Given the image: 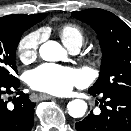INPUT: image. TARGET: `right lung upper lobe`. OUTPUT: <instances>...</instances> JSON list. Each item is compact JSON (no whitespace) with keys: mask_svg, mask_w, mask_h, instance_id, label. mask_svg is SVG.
I'll return each instance as SVG.
<instances>
[{"mask_svg":"<svg viewBox=\"0 0 131 131\" xmlns=\"http://www.w3.org/2000/svg\"><path fill=\"white\" fill-rule=\"evenodd\" d=\"M46 14H14L0 18V25L11 26L15 28H30L45 18Z\"/></svg>","mask_w":131,"mask_h":131,"instance_id":"cb5924a9","label":"right lung upper lobe"}]
</instances>
